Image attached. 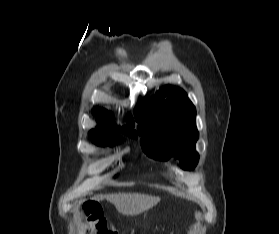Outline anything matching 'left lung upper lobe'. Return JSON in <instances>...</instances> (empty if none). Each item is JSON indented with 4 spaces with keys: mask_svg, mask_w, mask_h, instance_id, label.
<instances>
[{
    "mask_svg": "<svg viewBox=\"0 0 279 234\" xmlns=\"http://www.w3.org/2000/svg\"><path fill=\"white\" fill-rule=\"evenodd\" d=\"M154 99L151 108L140 103L134 111L143 151L156 159L174 157L182 169L193 170L199 159L195 151L199 134L194 105L182 89L169 86L162 88Z\"/></svg>",
    "mask_w": 279,
    "mask_h": 234,
    "instance_id": "left-lung-upper-lobe-1",
    "label": "left lung upper lobe"
}]
</instances>
